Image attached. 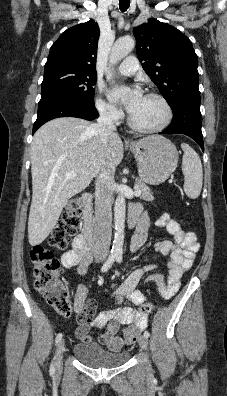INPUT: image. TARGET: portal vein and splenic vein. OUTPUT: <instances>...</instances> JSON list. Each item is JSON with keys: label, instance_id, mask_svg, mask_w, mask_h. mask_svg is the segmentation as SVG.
<instances>
[{"label": "portal vein and splenic vein", "instance_id": "obj_1", "mask_svg": "<svg viewBox=\"0 0 227 396\" xmlns=\"http://www.w3.org/2000/svg\"><path fill=\"white\" fill-rule=\"evenodd\" d=\"M65 176L67 178H72V177L76 176V173H74V172L66 173ZM134 189H135V192H134L135 196H140L141 190L138 189L136 186L134 187Z\"/></svg>", "mask_w": 227, "mask_h": 396}]
</instances>
